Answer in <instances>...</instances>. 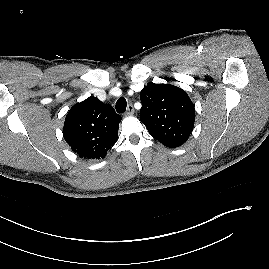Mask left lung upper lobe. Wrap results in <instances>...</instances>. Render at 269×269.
Segmentation results:
<instances>
[{
  "mask_svg": "<svg viewBox=\"0 0 269 269\" xmlns=\"http://www.w3.org/2000/svg\"><path fill=\"white\" fill-rule=\"evenodd\" d=\"M140 99V120L153 138L171 148L186 142L194 127L195 109L183 89L152 83L141 90Z\"/></svg>",
  "mask_w": 269,
  "mask_h": 269,
  "instance_id": "5c2ea615",
  "label": "left lung upper lobe"
}]
</instances>
